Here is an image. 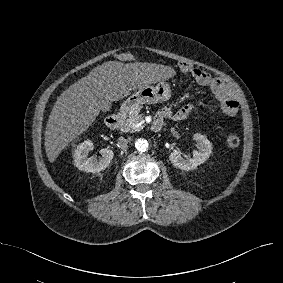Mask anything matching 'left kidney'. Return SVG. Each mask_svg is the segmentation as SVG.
I'll list each match as a JSON object with an SVG mask.
<instances>
[{
    "mask_svg": "<svg viewBox=\"0 0 283 283\" xmlns=\"http://www.w3.org/2000/svg\"><path fill=\"white\" fill-rule=\"evenodd\" d=\"M193 139L197 142L199 150L193 152L192 158H183L181 152L176 150L169 155V159L173 165L181 170L188 171L197 168L209 158L212 152V144L206 136L196 133Z\"/></svg>",
    "mask_w": 283,
    "mask_h": 283,
    "instance_id": "5707ae66",
    "label": "left kidney"
}]
</instances>
